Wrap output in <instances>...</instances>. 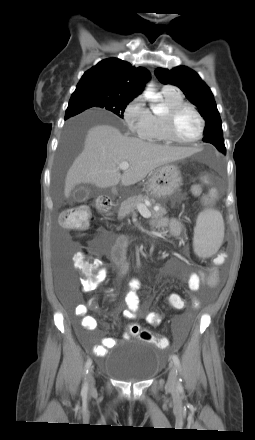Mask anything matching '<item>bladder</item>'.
I'll list each match as a JSON object with an SVG mask.
<instances>
[{
    "label": "bladder",
    "mask_w": 255,
    "mask_h": 440,
    "mask_svg": "<svg viewBox=\"0 0 255 440\" xmlns=\"http://www.w3.org/2000/svg\"><path fill=\"white\" fill-rule=\"evenodd\" d=\"M121 353L110 358L105 372L108 376L127 383H141L154 378L159 370V348L145 341L117 345Z\"/></svg>",
    "instance_id": "bladder-1"
}]
</instances>
